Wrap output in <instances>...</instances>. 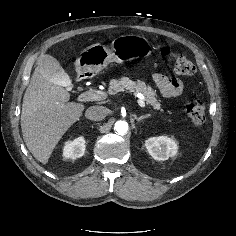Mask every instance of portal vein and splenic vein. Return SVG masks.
I'll return each instance as SVG.
<instances>
[{
  "mask_svg": "<svg viewBox=\"0 0 236 236\" xmlns=\"http://www.w3.org/2000/svg\"><path fill=\"white\" fill-rule=\"evenodd\" d=\"M105 98H106V94L104 92L98 91V90H89V91L81 93L78 96V100L81 102L98 101V100H103ZM138 104L140 107L145 108V102H144L143 95L138 96Z\"/></svg>",
  "mask_w": 236,
  "mask_h": 236,
  "instance_id": "obj_1",
  "label": "portal vein and splenic vein"
}]
</instances>
